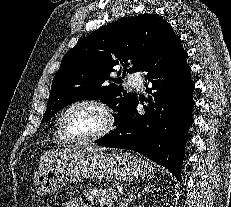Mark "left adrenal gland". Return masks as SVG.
<instances>
[{"label":"left adrenal gland","mask_w":231,"mask_h":207,"mask_svg":"<svg viewBox=\"0 0 231 207\" xmlns=\"http://www.w3.org/2000/svg\"><path fill=\"white\" fill-rule=\"evenodd\" d=\"M152 186H145V188H143L141 190V192H138V188L137 190H130L128 192L129 194V197L127 199H123L121 202H120V207H127L128 204H130V202H132L133 200H135L136 198H138L139 196H141V194H144L146 192H150L152 189L150 188Z\"/></svg>","instance_id":"left-adrenal-gland-1"}]
</instances>
